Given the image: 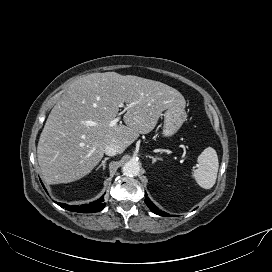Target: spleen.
Here are the masks:
<instances>
[{"label": "spleen", "mask_w": 272, "mask_h": 272, "mask_svg": "<svg viewBox=\"0 0 272 272\" xmlns=\"http://www.w3.org/2000/svg\"><path fill=\"white\" fill-rule=\"evenodd\" d=\"M218 167L217 153L212 147H208L199 155L198 168L193 171L192 177L200 187L210 189L216 182Z\"/></svg>", "instance_id": "spleen-1"}]
</instances>
